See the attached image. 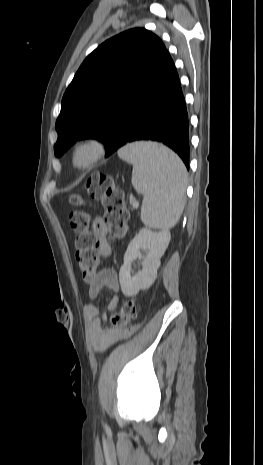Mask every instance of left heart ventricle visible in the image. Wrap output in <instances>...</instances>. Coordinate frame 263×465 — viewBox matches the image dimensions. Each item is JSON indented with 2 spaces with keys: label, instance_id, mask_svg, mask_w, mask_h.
Instances as JSON below:
<instances>
[{
  "label": "left heart ventricle",
  "instance_id": "1",
  "mask_svg": "<svg viewBox=\"0 0 263 465\" xmlns=\"http://www.w3.org/2000/svg\"><path fill=\"white\" fill-rule=\"evenodd\" d=\"M91 155V150L88 148L81 149L76 156V161L78 164H83L88 160Z\"/></svg>",
  "mask_w": 263,
  "mask_h": 465
}]
</instances>
